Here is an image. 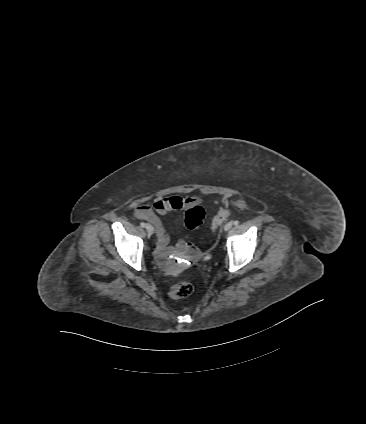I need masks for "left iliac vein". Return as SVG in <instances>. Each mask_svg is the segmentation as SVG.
I'll list each match as a JSON object with an SVG mask.
<instances>
[{
  "mask_svg": "<svg viewBox=\"0 0 366 424\" xmlns=\"http://www.w3.org/2000/svg\"><path fill=\"white\" fill-rule=\"evenodd\" d=\"M232 228V222H228V223H226L225 225H224V230L225 231H228V230H230Z\"/></svg>",
  "mask_w": 366,
  "mask_h": 424,
  "instance_id": "left-iliac-vein-1",
  "label": "left iliac vein"
}]
</instances>
